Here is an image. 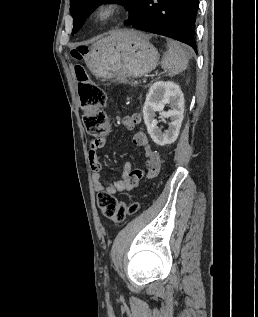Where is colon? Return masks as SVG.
Returning a JSON list of instances; mask_svg holds the SVG:
<instances>
[{"label": "colon", "mask_w": 258, "mask_h": 317, "mask_svg": "<svg viewBox=\"0 0 258 317\" xmlns=\"http://www.w3.org/2000/svg\"><path fill=\"white\" fill-rule=\"evenodd\" d=\"M83 54L84 50L81 48L72 51V57L77 61ZM75 71L84 127L93 137H106L109 133V123L104 112L106 95L89 79L82 66L76 65ZM97 205L105 217L117 222L124 221L139 207L137 202L118 201L112 194L106 192L98 194Z\"/></svg>", "instance_id": "colon-1"}]
</instances>
